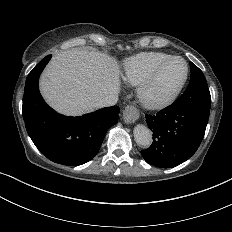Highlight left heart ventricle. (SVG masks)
Instances as JSON below:
<instances>
[{"label": "left heart ventricle", "mask_w": 232, "mask_h": 232, "mask_svg": "<svg viewBox=\"0 0 232 232\" xmlns=\"http://www.w3.org/2000/svg\"><path fill=\"white\" fill-rule=\"evenodd\" d=\"M186 65L182 61H173L164 68L146 88L144 98L148 102H157L170 94L183 80Z\"/></svg>", "instance_id": "b2bd125f"}]
</instances>
